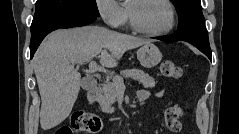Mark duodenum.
I'll return each mask as SVG.
<instances>
[{
    "label": "duodenum",
    "mask_w": 239,
    "mask_h": 134,
    "mask_svg": "<svg viewBox=\"0 0 239 134\" xmlns=\"http://www.w3.org/2000/svg\"><path fill=\"white\" fill-rule=\"evenodd\" d=\"M87 97L88 100L90 102V104H95L96 101L99 99L100 97V88L99 86H94L91 89H89L88 93H87Z\"/></svg>",
    "instance_id": "duodenum-1"
}]
</instances>
